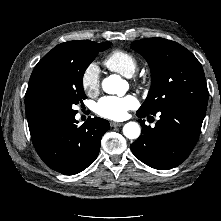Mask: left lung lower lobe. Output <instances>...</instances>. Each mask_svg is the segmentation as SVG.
Listing matches in <instances>:
<instances>
[{
  "instance_id": "1",
  "label": "left lung lower lobe",
  "mask_w": 221,
  "mask_h": 221,
  "mask_svg": "<svg viewBox=\"0 0 221 221\" xmlns=\"http://www.w3.org/2000/svg\"><path fill=\"white\" fill-rule=\"evenodd\" d=\"M206 107L197 102H178L160 111V120L154 128L139 120L143 133L131 144L133 154L158 170L180 165L197 143ZM136 114L139 118L150 115L139 110Z\"/></svg>"
}]
</instances>
